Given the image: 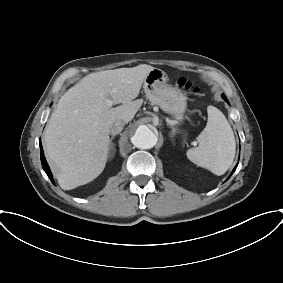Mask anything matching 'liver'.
<instances>
[{
	"instance_id": "1",
	"label": "liver",
	"mask_w": 283,
	"mask_h": 283,
	"mask_svg": "<svg viewBox=\"0 0 283 283\" xmlns=\"http://www.w3.org/2000/svg\"><path fill=\"white\" fill-rule=\"evenodd\" d=\"M153 69L140 64L91 73L60 98L48 121L44 146L62 189L87 184L102 173L110 127L118 120L128 123L134 118L143 103L134 99ZM112 104L121 105L113 108Z\"/></svg>"
}]
</instances>
